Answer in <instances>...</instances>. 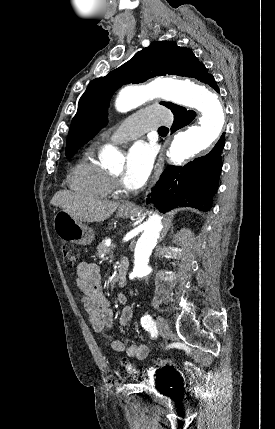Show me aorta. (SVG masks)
Wrapping results in <instances>:
<instances>
[{"mask_svg":"<svg viewBox=\"0 0 275 429\" xmlns=\"http://www.w3.org/2000/svg\"><path fill=\"white\" fill-rule=\"evenodd\" d=\"M154 98L194 108L201 113L198 125H192L178 132L171 143L167 156L173 163L184 160L206 150L219 136L226 119V109L217 92L208 85L174 79H158L147 86H128L122 89L116 100L118 112H128ZM102 158L111 170L120 167L117 151L106 146ZM161 217L153 214L144 223L134 251V274L147 276L151 272L149 259L157 244L161 231Z\"/></svg>","mask_w":275,"mask_h":429,"instance_id":"aorta-1","label":"aorta"}]
</instances>
